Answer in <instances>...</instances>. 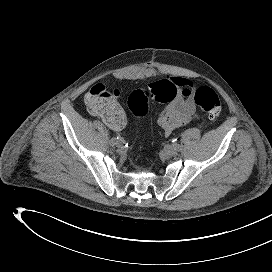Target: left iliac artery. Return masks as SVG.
Returning <instances> with one entry per match:
<instances>
[{"mask_svg":"<svg viewBox=\"0 0 272 272\" xmlns=\"http://www.w3.org/2000/svg\"><path fill=\"white\" fill-rule=\"evenodd\" d=\"M173 142H174L173 143L174 149L177 150V151H181L182 150V146L180 144L176 143L175 140H173Z\"/></svg>","mask_w":272,"mask_h":272,"instance_id":"44dca946","label":"left iliac artery"}]
</instances>
